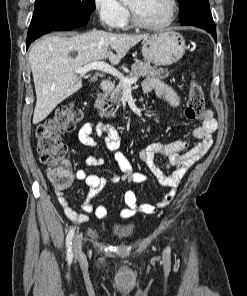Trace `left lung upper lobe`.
I'll use <instances>...</instances> for the list:
<instances>
[{
    "mask_svg": "<svg viewBox=\"0 0 247 296\" xmlns=\"http://www.w3.org/2000/svg\"><path fill=\"white\" fill-rule=\"evenodd\" d=\"M180 3V14L181 19L185 18L199 7L209 6L208 0H178Z\"/></svg>",
    "mask_w": 247,
    "mask_h": 296,
    "instance_id": "left-lung-upper-lobe-1",
    "label": "left lung upper lobe"
}]
</instances>
